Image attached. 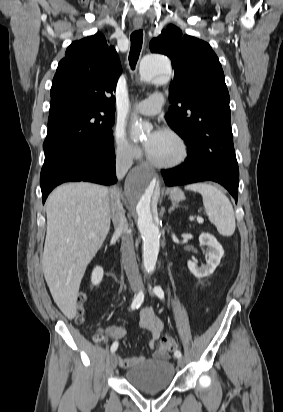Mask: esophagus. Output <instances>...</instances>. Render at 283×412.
<instances>
[{"mask_svg": "<svg viewBox=\"0 0 283 412\" xmlns=\"http://www.w3.org/2000/svg\"><path fill=\"white\" fill-rule=\"evenodd\" d=\"M143 25V21L141 19H136L133 21V26L135 29H140Z\"/></svg>", "mask_w": 283, "mask_h": 412, "instance_id": "1", "label": "esophagus"}]
</instances>
